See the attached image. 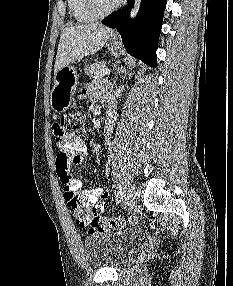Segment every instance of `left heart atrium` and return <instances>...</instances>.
Wrapping results in <instances>:
<instances>
[{"mask_svg": "<svg viewBox=\"0 0 233 286\" xmlns=\"http://www.w3.org/2000/svg\"><path fill=\"white\" fill-rule=\"evenodd\" d=\"M117 2H120V1H122V0H116Z\"/></svg>", "mask_w": 233, "mask_h": 286, "instance_id": "1", "label": "left heart atrium"}]
</instances>
